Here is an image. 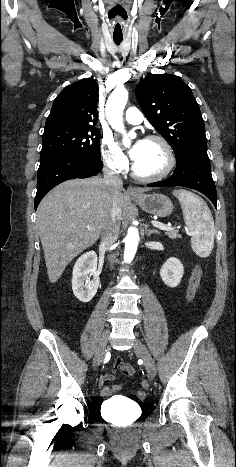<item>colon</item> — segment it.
<instances>
[{"instance_id":"obj_1","label":"colon","mask_w":236,"mask_h":467,"mask_svg":"<svg viewBox=\"0 0 236 467\" xmlns=\"http://www.w3.org/2000/svg\"><path fill=\"white\" fill-rule=\"evenodd\" d=\"M201 277H202V268H201V266L197 265L194 268V270L192 272L191 279H190V285H189V291H188V299L189 300H191L194 297L195 291L199 287ZM136 396L139 399H143L145 397V394L142 391H138L136 393Z\"/></svg>"}]
</instances>
